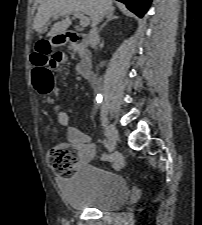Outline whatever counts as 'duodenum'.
<instances>
[{"label": "duodenum", "mask_w": 202, "mask_h": 225, "mask_svg": "<svg viewBox=\"0 0 202 225\" xmlns=\"http://www.w3.org/2000/svg\"><path fill=\"white\" fill-rule=\"evenodd\" d=\"M54 39L57 41L58 45L70 44L75 50L80 51L83 55L87 56L84 51L87 43V36L85 34L75 31H67L65 33L55 35ZM77 72L85 78H89L91 76L92 70L87 57L78 64Z\"/></svg>", "instance_id": "1"}]
</instances>
